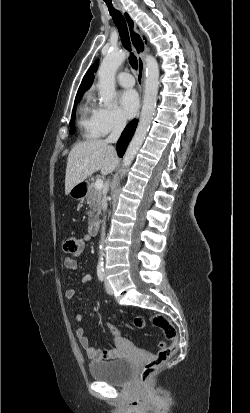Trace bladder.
<instances>
[{"label":"bladder","instance_id":"obj_1","mask_svg":"<svg viewBox=\"0 0 250 413\" xmlns=\"http://www.w3.org/2000/svg\"><path fill=\"white\" fill-rule=\"evenodd\" d=\"M133 368V361L127 357L89 364V372L93 379L111 385L125 384L130 379Z\"/></svg>","mask_w":250,"mask_h":413}]
</instances>
